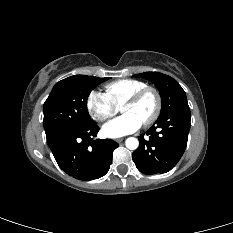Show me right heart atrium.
<instances>
[{
    "instance_id": "1",
    "label": "right heart atrium",
    "mask_w": 233,
    "mask_h": 233,
    "mask_svg": "<svg viewBox=\"0 0 233 233\" xmlns=\"http://www.w3.org/2000/svg\"><path fill=\"white\" fill-rule=\"evenodd\" d=\"M86 107L90 116L99 122L108 120L118 112V107L105 94L98 91H91L89 93Z\"/></svg>"
}]
</instances>
